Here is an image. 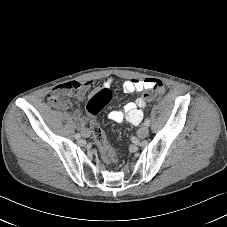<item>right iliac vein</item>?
I'll use <instances>...</instances> for the list:
<instances>
[{
  "instance_id": "1",
  "label": "right iliac vein",
  "mask_w": 227,
  "mask_h": 227,
  "mask_svg": "<svg viewBox=\"0 0 227 227\" xmlns=\"http://www.w3.org/2000/svg\"><path fill=\"white\" fill-rule=\"evenodd\" d=\"M83 136L84 137H89L90 136V131L86 130Z\"/></svg>"
}]
</instances>
